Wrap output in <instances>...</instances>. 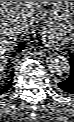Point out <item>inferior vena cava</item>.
Listing matches in <instances>:
<instances>
[{"label": "inferior vena cava", "mask_w": 74, "mask_h": 122, "mask_svg": "<svg viewBox=\"0 0 74 122\" xmlns=\"http://www.w3.org/2000/svg\"><path fill=\"white\" fill-rule=\"evenodd\" d=\"M25 28H26V26H25V25H22V26L20 27V31H24Z\"/></svg>", "instance_id": "obj_1"}]
</instances>
